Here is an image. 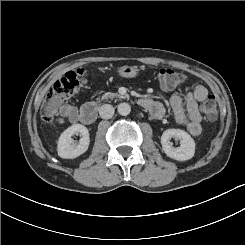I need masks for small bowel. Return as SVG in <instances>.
Returning <instances> with one entry per match:
<instances>
[{"label":"small bowel","mask_w":245,"mask_h":245,"mask_svg":"<svg viewBox=\"0 0 245 245\" xmlns=\"http://www.w3.org/2000/svg\"><path fill=\"white\" fill-rule=\"evenodd\" d=\"M207 89L202 84H196L191 92L182 96L180 92L173 94L170 104L176 121L183 125L189 134L198 136L201 133L202 117L198 110V102L206 99ZM142 105L147 108L151 115L160 118L164 114V107L161 103L151 99H143ZM60 119L62 123L67 119L71 123L79 121V111L70 104H63L60 107Z\"/></svg>","instance_id":"obj_1"}]
</instances>
